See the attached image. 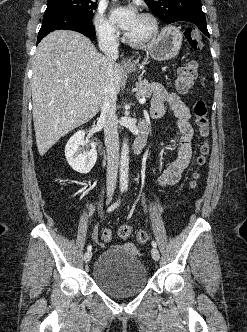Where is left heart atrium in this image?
I'll return each mask as SVG.
<instances>
[{"label": "left heart atrium", "instance_id": "39dd6f15", "mask_svg": "<svg viewBox=\"0 0 247 332\" xmlns=\"http://www.w3.org/2000/svg\"><path fill=\"white\" fill-rule=\"evenodd\" d=\"M111 17L119 28L128 32L134 26L138 14L133 7H116L112 9Z\"/></svg>", "mask_w": 247, "mask_h": 332}]
</instances>
